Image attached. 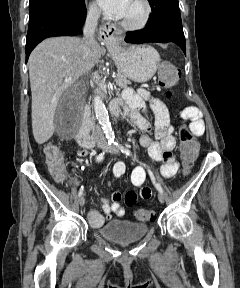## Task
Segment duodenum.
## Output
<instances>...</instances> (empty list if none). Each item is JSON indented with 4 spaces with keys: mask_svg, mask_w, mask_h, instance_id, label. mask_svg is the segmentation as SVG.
I'll use <instances>...</instances> for the list:
<instances>
[{
    "mask_svg": "<svg viewBox=\"0 0 240 288\" xmlns=\"http://www.w3.org/2000/svg\"><path fill=\"white\" fill-rule=\"evenodd\" d=\"M110 110L114 115H118L120 112V102L118 100L111 101ZM91 131H92V122H91L90 110L88 108H85L83 112L82 126L76 136L77 142L80 145L88 148L93 147L94 141L92 139Z\"/></svg>",
    "mask_w": 240,
    "mask_h": 288,
    "instance_id": "duodenum-1",
    "label": "duodenum"
}]
</instances>
